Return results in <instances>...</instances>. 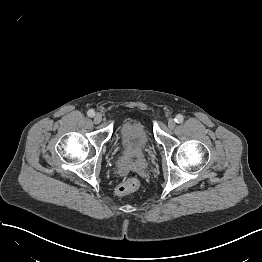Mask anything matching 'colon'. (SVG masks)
Masks as SVG:
<instances>
[{
	"instance_id": "colon-1",
	"label": "colon",
	"mask_w": 262,
	"mask_h": 262,
	"mask_svg": "<svg viewBox=\"0 0 262 262\" xmlns=\"http://www.w3.org/2000/svg\"><path fill=\"white\" fill-rule=\"evenodd\" d=\"M140 186V181L137 177H130L123 183L119 184L116 189L115 193L118 196H125L131 192L136 191Z\"/></svg>"
}]
</instances>
